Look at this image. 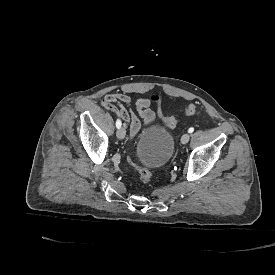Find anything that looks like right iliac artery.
I'll list each match as a JSON object with an SVG mask.
<instances>
[{
  "mask_svg": "<svg viewBox=\"0 0 275 275\" xmlns=\"http://www.w3.org/2000/svg\"><path fill=\"white\" fill-rule=\"evenodd\" d=\"M116 127L118 129L121 127V121L119 119L116 121Z\"/></svg>",
  "mask_w": 275,
  "mask_h": 275,
  "instance_id": "1",
  "label": "right iliac artery"
}]
</instances>
